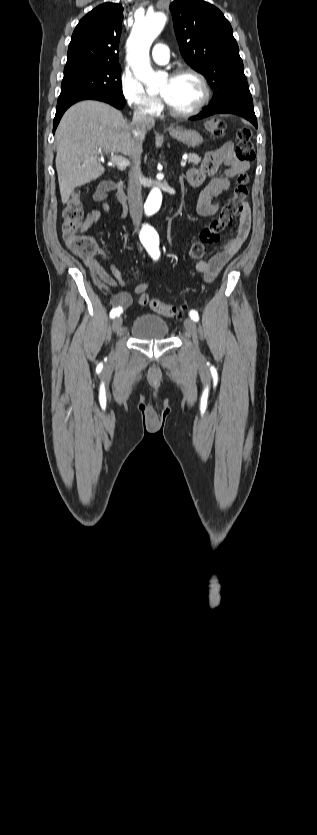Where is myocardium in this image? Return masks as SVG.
Returning a JSON list of instances; mask_svg holds the SVG:
<instances>
[{
    "instance_id": "1",
    "label": "myocardium",
    "mask_w": 317,
    "mask_h": 835,
    "mask_svg": "<svg viewBox=\"0 0 317 835\" xmlns=\"http://www.w3.org/2000/svg\"><path fill=\"white\" fill-rule=\"evenodd\" d=\"M185 75L192 76L198 81V83L200 85V88H201V97H200L199 101L197 102V104L192 109L187 110V111H178V110L173 109L168 104V102L164 99L167 111L169 112L170 115H172L173 117H176V118H189V117H192V116H195V115L199 114L210 99V87H209V84L207 82V79L205 78V76L202 73H200L196 69L189 68V67L179 68L172 73L171 78H176V77L185 76Z\"/></svg>"
}]
</instances>
